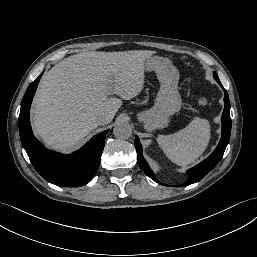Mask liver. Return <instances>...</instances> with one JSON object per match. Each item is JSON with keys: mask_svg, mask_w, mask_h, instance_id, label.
Returning <instances> with one entry per match:
<instances>
[{"mask_svg": "<svg viewBox=\"0 0 257 257\" xmlns=\"http://www.w3.org/2000/svg\"><path fill=\"white\" fill-rule=\"evenodd\" d=\"M154 53L90 51L60 61L44 74L36 92V133L48 147L64 151L98 127L99 115L109 114L111 122L122 101L109 97L107 89L124 100L136 97L144 87L145 60Z\"/></svg>", "mask_w": 257, "mask_h": 257, "instance_id": "liver-1", "label": "liver"}]
</instances>
